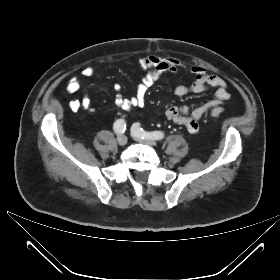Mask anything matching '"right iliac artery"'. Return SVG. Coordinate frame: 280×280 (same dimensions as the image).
I'll use <instances>...</instances> for the list:
<instances>
[{
    "label": "right iliac artery",
    "mask_w": 280,
    "mask_h": 280,
    "mask_svg": "<svg viewBox=\"0 0 280 280\" xmlns=\"http://www.w3.org/2000/svg\"><path fill=\"white\" fill-rule=\"evenodd\" d=\"M114 132L116 134H122L126 130V122L124 119H118L113 125Z\"/></svg>",
    "instance_id": "1"
}]
</instances>
